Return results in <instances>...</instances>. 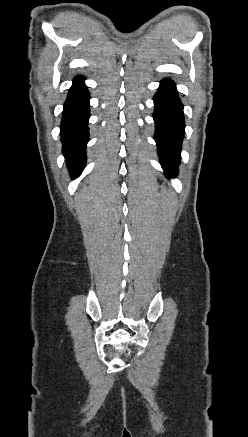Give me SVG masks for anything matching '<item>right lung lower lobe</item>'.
I'll return each mask as SVG.
<instances>
[{
    "label": "right lung lower lobe",
    "mask_w": 248,
    "mask_h": 437,
    "mask_svg": "<svg viewBox=\"0 0 248 437\" xmlns=\"http://www.w3.org/2000/svg\"><path fill=\"white\" fill-rule=\"evenodd\" d=\"M83 80L81 76L74 79L64 103L60 125L63 152L73 178L77 177L84 168L85 147L89 140L87 123L90 116V96Z\"/></svg>",
    "instance_id": "98d812e1"
}]
</instances>
